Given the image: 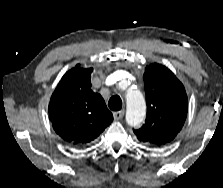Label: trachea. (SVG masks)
Here are the masks:
<instances>
[{"label":"trachea","instance_id":"1","mask_svg":"<svg viewBox=\"0 0 223 188\" xmlns=\"http://www.w3.org/2000/svg\"><path fill=\"white\" fill-rule=\"evenodd\" d=\"M108 106L112 111H119L122 108V100L119 96L115 95L108 101Z\"/></svg>","mask_w":223,"mask_h":188}]
</instances>
